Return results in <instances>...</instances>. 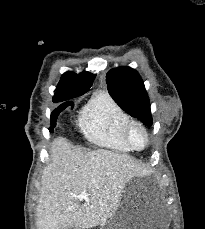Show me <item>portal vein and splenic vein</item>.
<instances>
[{
	"instance_id": "18ae733b",
	"label": "portal vein and splenic vein",
	"mask_w": 205,
	"mask_h": 229,
	"mask_svg": "<svg viewBox=\"0 0 205 229\" xmlns=\"http://www.w3.org/2000/svg\"><path fill=\"white\" fill-rule=\"evenodd\" d=\"M77 198H79V199H87L88 198V193H87V191H84V192H82L81 194H79L78 196H77Z\"/></svg>"
}]
</instances>
